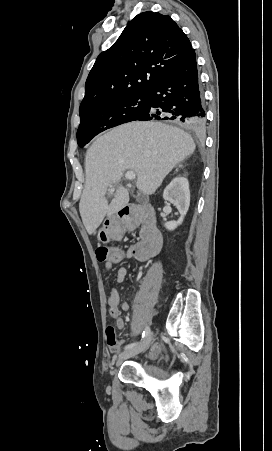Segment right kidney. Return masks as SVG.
Here are the masks:
<instances>
[{
  "mask_svg": "<svg viewBox=\"0 0 272 451\" xmlns=\"http://www.w3.org/2000/svg\"><path fill=\"white\" fill-rule=\"evenodd\" d=\"M164 200L174 204L181 216L177 222H165L166 229H175L182 224L190 206V190L187 178H174L163 192Z\"/></svg>",
  "mask_w": 272,
  "mask_h": 451,
  "instance_id": "right-kidney-1",
  "label": "right kidney"
}]
</instances>
